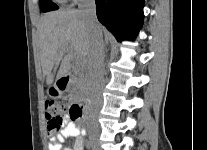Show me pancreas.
I'll return each mask as SVG.
<instances>
[{"instance_id": "1", "label": "pancreas", "mask_w": 207, "mask_h": 150, "mask_svg": "<svg viewBox=\"0 0 207 150\" xmlns=\"http://www.w3.org/2000/svg\"><path fill=\"white\" fill-rule=\"evenodd\" d=\"M88 73L82 72L78 78H74L72 81V92L84 91L89 85Z\"/></svg>"}]
</instances>
